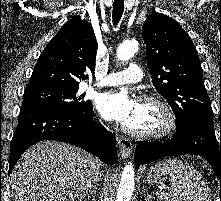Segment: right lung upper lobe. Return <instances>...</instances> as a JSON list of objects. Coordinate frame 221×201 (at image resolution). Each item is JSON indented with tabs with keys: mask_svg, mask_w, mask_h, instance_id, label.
Here are the masks:
<instances>
[{
	"mask_svg": "<svg viewBox=\"0 0 221 201\" xmlns=\"http://www.w3.org/2000/svg\"><path fill=\"white\" fill-rule=\"evenodd\" d=\"M97 41L91 24L76 16L67 22L41 53L30 81V87L79 88L93 72Z\"/></svg>",
	"mask_w": 221,
	"mask_h": 201,
	"instance_id": "1",
	"label": "right lung upper lobe"
}]
</instances>
